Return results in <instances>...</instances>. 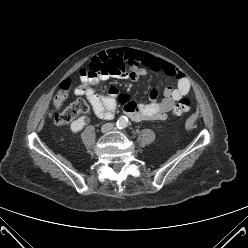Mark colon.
Returning a JSON list of instances; mask_svg holds the SVG:
<instances>
[{
  "mask_svg": "<svg viewBox=\"0 0 248 248\" xmlns=\"http://www.w3.org/2000/svg\"><path fill=\"white\" fill-rule=\"evenodd\" d=\"M124 69L123 61L116 56H108L101 61L93 59L87 68V74L90 76L97 75L100 73H114L122 71ZM71 88V82H63L60 84L56 93L54 104L57 108H60L63 101L68 97ZM129 101V98L122 96L120 103L125 106ZM192 103L189 98H181L173 108V114L178 116L190 111ZM88 110L87 103L82 100H76L68 107L58 111L55 114V124L58 126H64L72 122L79 114L85 113Z\"/></svg>",
  "mask_w": 248,
  "mask_h": 248,
  "instance_id": "colon-1",
  "label": "colon"
}]
</instances>
